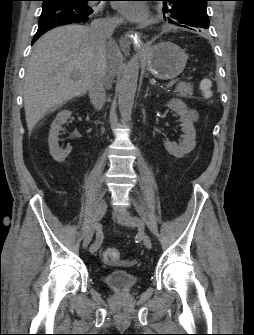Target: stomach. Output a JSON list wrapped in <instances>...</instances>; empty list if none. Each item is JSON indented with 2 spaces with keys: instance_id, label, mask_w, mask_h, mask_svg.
I'll return each instance as SVG.
<instances>
[{
  "instance_id": "obj_1",
  "label": "stomach",
  "mask_w": 254,
  "mask_h": 335,
  "mask_svg": "<svg viewBox=\"0 0 254 335\" xmlns=\"http://www.w3.org/2000/svg\"><path fill=\"white\" fill-rule=\"evenodd\" d=\"M188 56L178 45L166 41L146 49L144 60L148 71L160 80L179 76L187 63Z\"/></svg>"
}]
</instances>
